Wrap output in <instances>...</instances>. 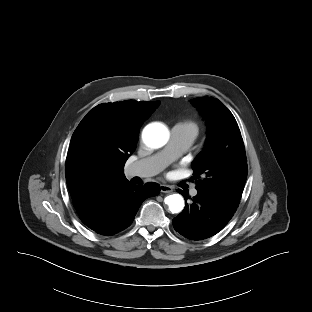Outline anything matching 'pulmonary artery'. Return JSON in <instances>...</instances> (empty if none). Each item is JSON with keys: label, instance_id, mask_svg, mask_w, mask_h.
Listing matches in <instances>:
<instances>
[{"label": "pulmonary artery", "instance_id": "e3ab8cb5", "mask_svg": "<svg viewBox=\"0 0 312 312\" xmlns=\"http://www.w3.org/2000/svg\"><path fill=\"white\" fill-rule=\"evenodd\" d=\"M191 137L174 126L171 130L168 145L159 153L133 163L130 167V173L134 176L146 178L158 174L170 161L178 157L187 150L192 144ZM191 195H197V190L192 189Z\"/></svg>", "mask_w": 312, "mask_h": 312}]
</instances>
